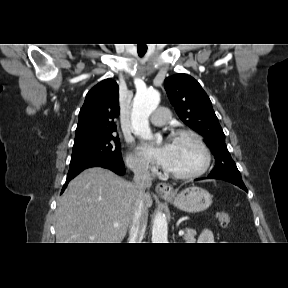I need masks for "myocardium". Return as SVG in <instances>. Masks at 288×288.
Segmentation results:
<instances>
[{"label": "myocardium", "mask_w": 288, "mask_h": 288, "mask_svg": "<svg viewBox=\"0 0 288 288\" xmlns=\"http://www.w3.org/2000/svg\"><path fill=\"white\" fill-rule=\"evenodd\" d=\"M170 137L171 139H178L185 137L191 139L201 150L203 155V163L198 169L190 172H175L167 170L165 168L164 172L166 175L176 179H193L203 175L209 169L212 159L211 152L200 134L190 129H178L173 131L170 134Z\"/></svg>", "instance_id": "obj_1"}]
</instances>
